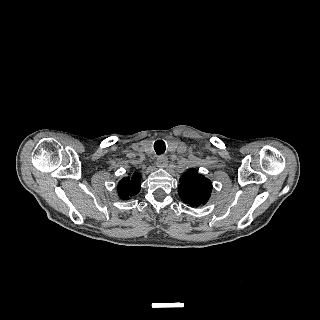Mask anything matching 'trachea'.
I'll use <instances>...</instances> for the list:
<instances>
[{
  "mask_svg": "<svg viewBox=\"0 0 320 320\" xmlns=\"http://www.w3.org/2000/svg\"><path fill=\"white\" fill-rule=\"evenodd\" d=\"M154 149H155L157 155L163 154L166 150L165 142L163 140H157L154 143Z\"/></svg>",
  "mask_w": 320,
  "mask_h": 320,
  "instance_id": "trachea-1",
  "label": "trachea"
}]
</instances>
